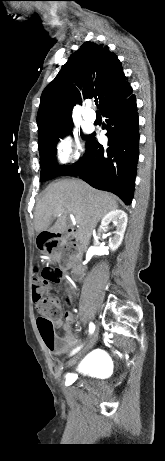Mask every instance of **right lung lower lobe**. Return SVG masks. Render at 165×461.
Here are the masks:
<instances>
[{
	"mask_svg": "<svg viewBox=\"0 0 165 461\" xmlns=\"http://www.w3.org/2000/svg\"><path fill=\"white\" fill-rule=\"evenodd\" d=\"M106 117L108 147L100 145L95 133L88 136L83 159L65 167L58 176H79L94 188L116 194L130 205L134 194L139 157V132L136 98L126 99L102 111Z\"/></svg>",
	"mask_w": 165,
	"mask_h": 461,
	"instance_id": "98d812e1",
	"label": "right lung lower lobe"
}]
</instances>
